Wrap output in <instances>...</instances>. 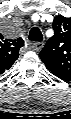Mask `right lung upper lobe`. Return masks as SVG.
<instances>
[{"label": "right lung upper lobe", "mask_w": 71, "mask_h": 119, "mask_svg": "<svg viewBox=\"0 0 71 119\" xmlns=\"http://www.w3.org/2000/svg\"><path fill=\"white\" fill-rule=\"evenodd\" d=\"M24 46L22 38L14 40L0 39V74L8 70L19 56V50Z\"/></svg>", "instance_id": "right-lung-upper-lobe-1"}]
</instances>
